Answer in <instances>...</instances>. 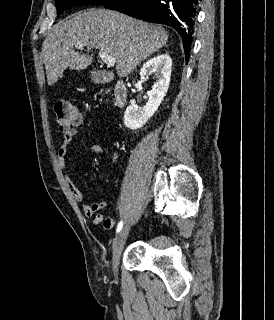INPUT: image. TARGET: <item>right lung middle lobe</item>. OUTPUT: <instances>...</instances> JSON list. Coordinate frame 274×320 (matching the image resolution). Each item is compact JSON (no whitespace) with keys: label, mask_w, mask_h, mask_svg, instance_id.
<instances>
[{"label":"right lung middle lobe","mask_w":274,"mask_h":320,"mask_svg":"<svg viewBox=\"0 0 274 320\" xmlns=\"http://www.w3.org/2000/svg\"><path fill=\"white\" fill-rule=\"evenodd\" d=\"M111 0H55L57 15L59 16L65 9L79 5H105Z\"/></svg>","instance_id":"right-lung-middle-lobe-1"}]
</instances>
